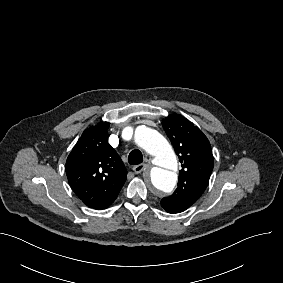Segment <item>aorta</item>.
<instances>
[{
	"label": "aorta",
	"instance_id": "obj_1",
	"mask_svg": "<svg viewBox=\"0 0 283 283\" xmlns=\"http://www.w3.org/2000/svg\"><path fill=\"white\" fill-rule=\"evenodd\" d=\"M135 143L154 157L150 172L152 185L163 192L170 193L177 183V158L172 146L158 131L140 126L135 130Z\"/></svg>",
	"mask_w": 283,
	"mask_h": 283
}]
</instances>
